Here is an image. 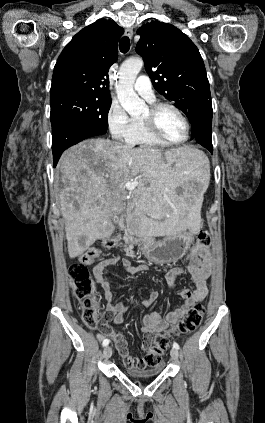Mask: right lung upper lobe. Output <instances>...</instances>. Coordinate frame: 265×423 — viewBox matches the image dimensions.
I'll return each mask as SVG.
<instances>
[{"instance_id":"obj_1","label":"right lung upper lobe","mask_w":265,"mask_h":423,"mask_svg":"<svg viewBox=\"0 0 265 423\" xmlns=\"http://www.w3.org/2000/svg\"><path fill=\"white\" fill-rule=\"evenodd\" d=\"M123 33L113 20L106 19L78 32L56 62L50 98L63 94L111 98L108 70L118 58L117 41Z\"/></svg>"}]
</instances>
